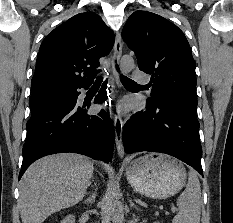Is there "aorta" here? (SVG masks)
I'll return each mask as SVG.
<instances>
[{"label":"aorta","mask_w":233,"mask_h":223,"mask_svg":"<svg viewBox=\"0 0 233 223\" xmlns=\"http://www.w3.org/2000/svg\"><path fill=\"white\" fill-rule=\"evenodd\" d=\"M133 68H134L133 58H131V56H124V58H122L121 64H120V70H121L122 74H129V72H131V70H133ZM119 203H120V201H118L117 197H116V199H113L112 205H111L112 217H115V215H118Z\"/></svg>","instance_id":"1"}]
</instances>
